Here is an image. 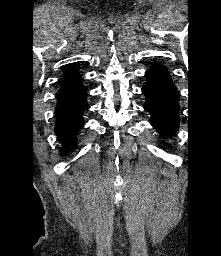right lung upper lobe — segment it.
Listing matches in <instances>:
<instances>
[{
	"label": "right lung upper lobe",
	"instance_id": "cb5924a9",
	"mask_svg": "<svg viewBox=\"0 0 221 256\" xmlns=\"http://www.w3.org/2000/svg\"><path fill=\"white\" fill-rule=\"evenodd\" d=\"M81 81L82 78L78 75V73L75 71H69L62 83L58 100L85 91V89L81 86Z\"/></svg>",
	"mask_w": 221,
	"mask_h": 256
}]
</instances>
